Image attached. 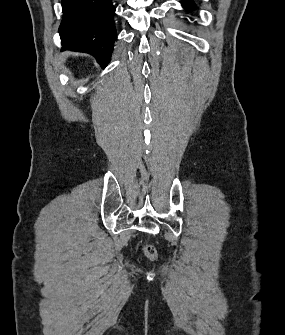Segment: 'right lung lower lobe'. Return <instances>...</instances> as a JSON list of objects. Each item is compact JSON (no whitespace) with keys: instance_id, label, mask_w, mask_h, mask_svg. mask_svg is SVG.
<instances>
[{"instance_id":"98d812e1","label":"right lung lower lobe","mask_w":285,"mask_h":335,"mask_svg":"<svg viewBox=\"0 0 285 335\" xmlns=\"http://www.w3.org/2000/svg\"><path fill=\"white\" fill-rule=\"evenodd\" d=\"M62 50L93 55L102 68L110 62L117 34L112 0H61Z\"/></svg>"}]
</instances>
